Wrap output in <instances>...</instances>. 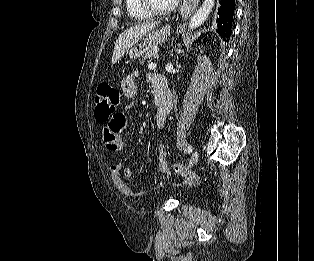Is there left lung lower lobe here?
I'll use <instances>...</instances> for the list:
<instances>
[{
	"instance_id": "0a47b994",
	"label": "left lung lower lobe",
	"mask_w": 314,
	"mask_h": 261,
	"mask_svg": "<svg viewBox=\"0 0 314 261\" xmlns=\"http://www.w3.org/2000/svg\"><path fill=\"white\" fill-rule=\"evenodd\" d=\"M218 9V32L227 40L231 34L232 20L235 10V0H220Z\"/></svg>"
}]
</instances>
